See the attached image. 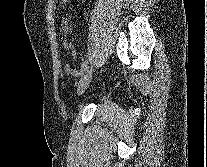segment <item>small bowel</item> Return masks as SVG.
<instances>
[{
    "mask_svg": "<svg viewBox=\"0 0 207 167\" xmlns=\"http://www.w3.org/2000/svg\"><path fill=\"white\" fill-rule=\"evenodd\" d=\"M62 4H66L68 3L70 0H60ZM65 30L68 31L70 30V26L68 25H65ZM63 40V47L65 50L69 51L70 55L73 57V58H76L77 57V52L76 50L74 49V42L72 39H66L65 37L62 38ZM64 72L66 75H69V76H74V77H77L79 76L80 72L78 70H76L75 68L71 67L70 65H65L64 66Z\"/></svg>",
    "mask_w": 207,
    "mask_h": 167,
    "instance_id": "c3829d8e",
    "label": "small bowel"
}]
</instances>
